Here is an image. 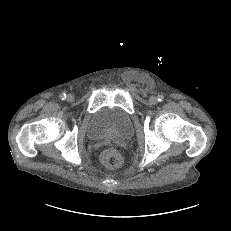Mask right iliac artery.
Returning a JSON list of instances; mask_svg holds the SVG:
<instances>
[{
  "label": "right iliac artery",
  "instance_id": "obj_1",
  "mask_svg": "<svg viewBox=\"0 0 231 231\" xmlns=\"http://www.w3.org/2000/svg\"><path fill=\"white\" fill-rule=\"evenodd\" d=\"M60 99L65 100L66 99V94L65 93L60 94Z\"/></svg>",
  "mask_w": 231,
  "mask_h": 231
}]
</instances>
